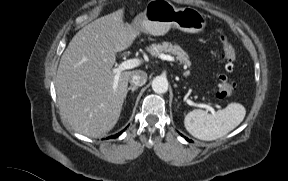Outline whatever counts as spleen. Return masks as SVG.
<instances>
[{
  "label": "spleen",
  "instance_id": "obj_1",
  "mask_svg": "<svg viewBox=\"0 0 288 181\" xmlns=\"http://www.w3.org/2000/svg\"><path fill=\"white\" fill-rule=\"evenodd\" d=\"M246 110L239 103H230L216 113L201 109L190 111L184 118L186 130L195 138L212 141L221 138L235 129L244 119Z\"/></svg>",
  "mask_w": 288,
  "mask_h": 181
}]
</instances>
